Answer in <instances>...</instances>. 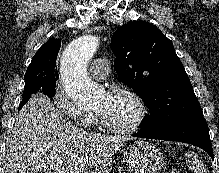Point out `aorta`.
Here are the masks:
<instances>
[{"mask_svg": "<svg viewBox=\"0 0 219 173\" xmlns=\"http://www.w3.org/2000/svg\"><path fill=\"white\" fill-rule=\"evenodd\" d=\"M99 38L84 35L73 40L61 58V77L65 91L78 101H93L100 87L87 75V63L95 54Z\"/></svg>", "mask_w": 219, "mask_h": 173, "instance_id": "762f6f07", "label": "aorta"}]
</instances>
